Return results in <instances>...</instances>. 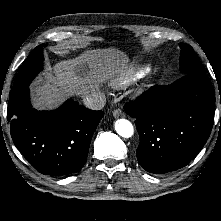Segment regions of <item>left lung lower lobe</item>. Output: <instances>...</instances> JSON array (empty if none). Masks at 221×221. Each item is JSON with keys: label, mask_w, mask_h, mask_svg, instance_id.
Instances as JSON below:
<instances>
[{"label": "left lung lower lobe", "mask_w": 221, "mask_h": 221, "mask_svg": "<svg viewBox=\"0 0 221 221\" xmlns=\"http://www.w3.org/2000/svg\"><path fill=\"white\" fill-rule=\"evenodd\" d=\"M214 104L215 91L207 76L186 74L171 85L151 87L125 106L136 119L141 166L154 174L186 166L210 135Z\"/></svg>", "instance_id": "left-lung-lower-lobe-1"}]
</instances>
